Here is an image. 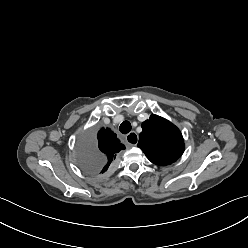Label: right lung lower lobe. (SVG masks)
Returning <instances> with one entry per match:
<instances>
[{
    "label": "right lung lower lobe",
    "mask_w": 248,
    "mask_h": 248,
    "mask_svg": "<svg viewBox=\"0 0 248 248\" xmlns=\"http://www.w3.org/2000/svg\"><path fill=\"white\" fill-rule=\"evenodd\" d=\"M112 167H113V165L109 168V170H111V169H112Z\"/></svg>",
    "instance_id": "right-lung-lower-lobe-1"
}]
</instances>
